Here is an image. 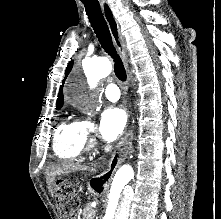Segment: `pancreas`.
Here are the masks:
<instances>
[{
    "label": "pancreas",
    "mask_w": 221,
    "mask_h": 219,
    "mask_svg": "<svg viewBox=\"0 0 221 219\" xmlns=\"http://www.w3.org/2000/svg\"><path fill=\"white\" fill-rule=\"evenodd\" d=\"M95 211L91 208V206H86L82 212V219H93V215Z\"/></svg>",
    "instance_id": "obj_1"
}]
</instances>
